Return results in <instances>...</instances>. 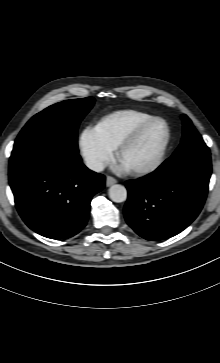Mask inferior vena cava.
<instances>
[{
  "mask_svg": "<svg viewBox=\"0 0 220 363\" xmlns=\"http://www.w3.org/2000/svg\"><path fill=\"white\" fill-rule=\"evenodd\" d=\"M86 166L95 172H100L104 169V164L97 159H88Z\"/></svg>",
  "mask_w": 220,
  "mask_h": 363,
  "instance_id": "obj_1",
  "label": "inferior vena cava"
}]
</instances>
